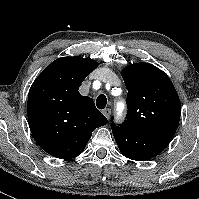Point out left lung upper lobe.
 Instances as JSON below:
<instances>
[{
	"label": "left lung upper lobe",
	"mask_w": 199,
	"mask_h": 199,
	"mask_svg": "<svg viewBox=\"0 0 199 199\" xmlns=\"http://www.w3.org/2000/svg\"><path fill=\"white\" fill-rule=\"evenodd\" d=\"M122 76L128 90V111L119 126L169 144L181 115L180 100L170 78L148 63L131 64Z\"/></svg>",
	"instance_id": "left-lung-upper-lobe-1"
}]
</instances>
